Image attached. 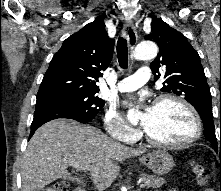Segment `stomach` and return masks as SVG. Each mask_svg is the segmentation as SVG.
I'll list each match as a JSON object with an SVG mask.
<instances>
[{"mask_svg":"<svg viewBox=\"0 0 221 191\" xmlns=\"http://www.w3.org/2000/svg\"><path fill=\"white\" fill-rule=\"evenodd\" d=\"M139 161L157 175L167 174L174 166L172 156L165 150H156L141 157Z\"/></svg>","mask_w":221,"mask_h":191,"instance_id":"stomach-1","label":"stomach"}]
</instances>
